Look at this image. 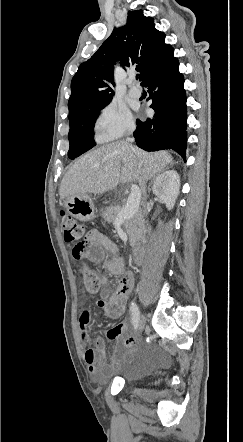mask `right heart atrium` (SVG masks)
Wrapping results in <instances>:
<instances>
[{"label":"right heart atrium","instance_id":"right-heart-atrium-1","mask_svg":"<svg viewBox=\"0 0 243 442\" xmlns=\"http://www.w3.org/2000/svg\"><path fill=\"white\" fill-rule=\"evenodd\" d=\"M94 129L99 140L115 141L132 133L135 121L127 107L110 102L100 110Z\"/></svg>","mask_w":243,"mask_h":442}]
</instances>
